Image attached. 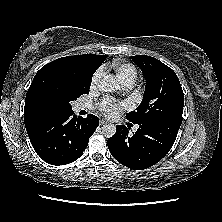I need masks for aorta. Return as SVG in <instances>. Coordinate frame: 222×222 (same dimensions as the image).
Returning a JSON list of instances; mask_svg holds the SVG:
<instances>
[{
    "label": "aorta",
    "mask_w": 222,
    "mask_h": 222,
    "mask_svg": "<svg viewBox=\"0 0 222 222\" xmlns=\"http://www.w3.org/2000/svg\"><path fill=\"white\" fill-rule=\"evenodd\" d=\"M119 89V85L112 75L105 76L99 84V90L103 92H114ZM102 133L105 137H113L116 133V127L114 124L106 123L102 127Z\"/></svg>",
    "instance_id": "obj_1"
}]
</instances>
